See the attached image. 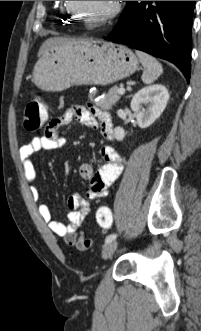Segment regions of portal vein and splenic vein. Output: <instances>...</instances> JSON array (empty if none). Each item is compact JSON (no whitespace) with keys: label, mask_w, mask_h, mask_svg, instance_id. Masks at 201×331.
<instances>
[{"label":"portal vein and splenic vein","mask_w":201,"mask_h":331,"mask_svg":"<svg viewBox=\"0 0 201 331\" xmlns=\"http://www.w3.org/2000/svg\"><path fill=\"white\" fill-rule=\"evenodd\" d=\"M117 93L120 94V95H123L125 93V89L124 88H119L117 90Z\"/></svg>","instance_id":"1"}]
</instances>
